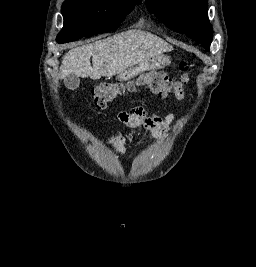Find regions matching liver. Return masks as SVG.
Returning a JSON list of instances; mask_svg holds the SVG:
<instances>
[{
    "label": "liver",
    "mask_w": 256,
    "mask_h": 267,
    "mask_svg": "<svg viewBox=\"0 0 256 267\" xmlns=\"http://www.w3.org/2000/svg\"><path fill=\"white\" fill-rule=\"evenodd\" d=\"M172 50V46L158 36L142 30H128L112 38L69 50L62 60L59 78L63 80L69 74L91 80H100L101 76L109 78L115 74L122 76L127 68L146 64L147 60L158 54Z\"/></svg>",
    "instance_id": "1"
}]
</instances>
